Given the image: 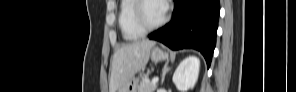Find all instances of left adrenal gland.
<instances>
[{"instance_id": "a2214340", "label": "left adrenal gland", "mask_w": 296, "mask_h": 92, "mask_svg": "<svg viewBox=\"0 0 296 92\" xmlns=\"http://www.w3.org/2000/svg\"><path fill=\"white\" fill-rule=\"evenodd\" d=\"M170 69H171V67H168V63L164 65L163 71H162L161 85H163L164 80H165V75Z\"/></svg>"}]
</instances>
